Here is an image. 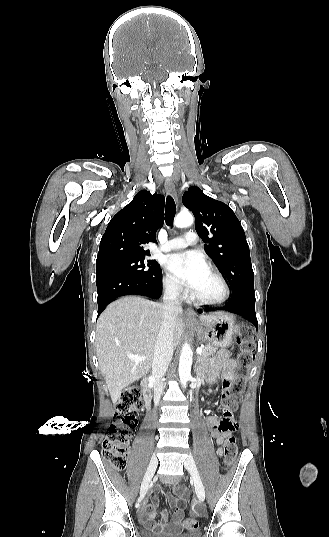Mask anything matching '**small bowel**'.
<instances>
[{"label": "small bowel", "mask_w": 329, "mask_h": 537, "mask_svg": "<svg viewBox=\"0 0 329 537\" xmlns=\"http://www.w3.org/2000/svg\"><path fill=\"white\" fill-rule=\"evenodd\" d=\"M237 363L232 359L228 353L222 352L218 354L212 361L209 368L208 379L210 382L216 381L221 377L224 382L221 385L223 392H228L231 389L233 380L235 379V372ZM210 435L215 439L219 445L218 455H223L222 443L224 441L223 435L220 429V423L214 416H209L207 419ZM175 495H168V502L173 506V518H169V514L166 511L161 512L160 521H156L157 507L159 500L157 496H154L150 502H145L141 509V521L144 526L154 532H167L171 534L179 533L185 525L183 524L184 506L187 500V490L183 486H177L174 488Z\"/></svg>", "instance_id": "1"}]
</instances>
